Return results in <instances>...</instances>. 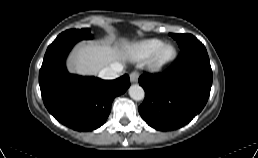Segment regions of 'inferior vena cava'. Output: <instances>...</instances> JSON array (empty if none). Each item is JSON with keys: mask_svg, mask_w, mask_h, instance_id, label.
Masks as SVG:
<instances>
[{"mask_svg": "<svg viewBox=\"0 0 258 158\" xmlns=\"http://www.w3.org/2000/svg\"><path fill=\"white\" fill-rule=\"evenodd\" d=\"M122 71L123 66L120 63H114L100 70L98 76L102 79H116Z\"/></svg>", "mask_w": 258, "mask_h": 158, "instance_id": "obj_1", "label": "inferior vena cava"}]
</instances>
